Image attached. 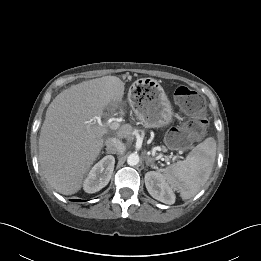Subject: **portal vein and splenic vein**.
<instances>
[{"label": "portal vein and splenic vein", "instance_id": "18ae733b", "mask_svg": "<svg viewBox=\"0 0 261 261\" xmlns=\"http://www.w3.org/2000/svg\"><path fill=\"white\" fill-rule=\"evenodd\" d=\"M96 120H97L98 125L101 126L104 129L109 128L111 130H117V129L120 128V123H119L118 120H112V121H109V122H106V123H102L100 117H96ZM166 160L168 161L169 158H166Z\"/></svg>", "mask_w": 261, "mask_h": 261}]
</instances>
